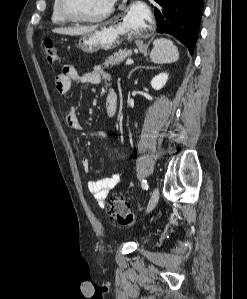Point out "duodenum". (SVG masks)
<instances>
[{"mask_svg":"<svg viewBox=\"0 0 247 299\" xmlns=\"http://www.w3.org/2000/svg\"><path fill=\"white\" fill-rule=\"evenodd\" d=\"M105 111H106V116L108 118H112L115 115V113H116V105H114V104H107L106 108H105Z\"/></svg>","mask_w":247,"mask_h":299,"instance_id":"1","label":"duodenum"}]
</instances>
